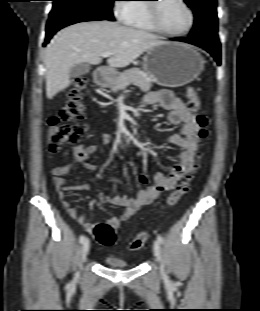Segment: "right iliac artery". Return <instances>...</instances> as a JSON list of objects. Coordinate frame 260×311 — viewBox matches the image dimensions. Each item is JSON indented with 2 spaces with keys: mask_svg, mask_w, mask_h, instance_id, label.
I'll return each instance as SVG.
<instances>
[{
  "mask_svg": "<svg viewBox=\"0 0 260 311\" xmlns=\"http://www.w3.org/2000/svg\"><path fill=\"white\" fill-rule=\"evenodd\" d=\"M86 240V236L85 235H81L79 238L80 243H83Z\"/></svg>",
  "mask_w": 260,
  "mask_h": 311,
  "instance_id": "right-iliac-artery-1",
  "label": "right iliac artery"
}]
</instances>
